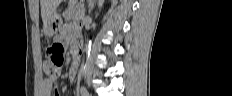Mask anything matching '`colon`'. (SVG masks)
<instances>
[{"label": "colon", "mask_w": 232, "mask_h": 96, "mask_svg": "<svg viewBox=\"0 0 232 96\" xmlns=\"http://www.w3.org/2000/svg\"><path fill=\"white\" fill-rule=\"evenodd\" d=\"M47 54L51 62L48 68L49 73L58 75L64 65V47L60 44H53L48 48Z\"/></svg>", "instance_id": "colon-1"}]
</instances>
